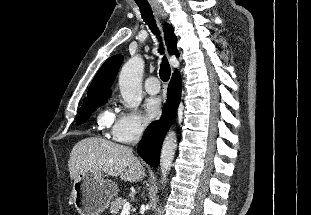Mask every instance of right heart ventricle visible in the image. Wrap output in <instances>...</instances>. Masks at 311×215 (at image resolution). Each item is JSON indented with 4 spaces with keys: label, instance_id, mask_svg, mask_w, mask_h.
Listing matches in <instances>:
<instances>
[{
    "label": "right heart ventricle",
    "instance_id": "right-heart-ventricle-1",
    "mask_svg": "<svg viewBox=\"0 0 311 215\" xmlns=\"http://www.w3.org/2000/svg\"><path fill=\"white\" fill-rule=\"evenodd\" d=\"M108 113H109L108 111L103 112V113L101 114V117L104 116V115H106V114H108ZM101 117H100V118H101Z\"/></svg>",
    "mask_w": 311,
    "mask_h": 215
}]
</instances>
